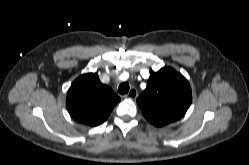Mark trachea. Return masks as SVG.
<instances>
[{"instance_id": "trachea-1", "label": "trachea", "mask_w": 249, "mask_h": 165, "mask_svg": "<svg viewBox=\"0 0 249 165\" xmlns=\"http://www.w3.org/2000/svg\"><path fill=\"white\" fill-rule=\"evenodd\" d=\"M129 91V84L128 83H121L118 87L119 94H126Z\"/></svg>"}]
</instances>
